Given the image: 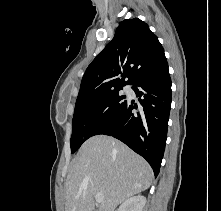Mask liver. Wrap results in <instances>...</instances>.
Returning <instances> with one entry per match:
<instances>
[{
  "mask_svg": "<svg viewBox=\"0 0 221 211\" xmlns=\"http://www.w3.org/2000/svg\"><path fill=\"white\" fill-rule=\"evenodd\" d=\"M153 180L150 165L122 142L105 135L88 139L79 149L66 179L65 211H94V197L104 196L98 211H115Z\"/></svg>",
  "mask_w": 221,
  "mask_h": 211,
  "instance_id": "6515ba94",
  "label": "liver"
}]
</instances>
